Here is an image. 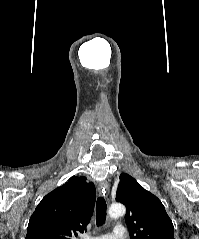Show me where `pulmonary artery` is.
<instances>
[{
    "instance_id": "1",
    "label": "pulmonary artery",
    "mask_w": 199,
    "mask_h": 239,
    "mask_svg": "<svg viewBox=\"0 0 199 239\" xmlns=\"http://www.w3.org/2000/svg\"><path fill=\"white\" fill-rule=\"evenodd\" d=\"M125 238H126V233H125L124 227L122 225H116L113 233L90 238V239H125Z\"/></svg>"
}]
</instances>
